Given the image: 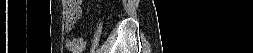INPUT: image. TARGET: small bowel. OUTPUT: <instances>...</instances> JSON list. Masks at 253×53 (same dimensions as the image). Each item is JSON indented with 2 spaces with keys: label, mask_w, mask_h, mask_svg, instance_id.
Wrapping results in <instances>:
<instances>
[{
  "label": "small bowel",
  "mask_w": 253,
  "mask_h": 53,
  "mask_svg": "<svg viewBox=\"0 0 253 53\" xmlns=\"http://www.w3.org/2000/svg\"><path fill=\"white\" fill-rule=\"evenodd\" d=\"M73 24L68 20L65 22V30L67 33L73 31ZM66 48L73 53H81L85 48V41L83 38L72 37L66 41Z\"/></svg>",
  "instance_id": "c3829d8e"
}]
</instances>
